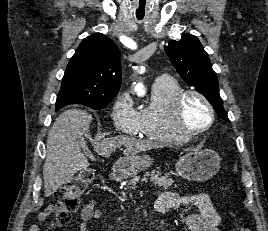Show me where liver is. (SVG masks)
Listing matches in <instances>:
<instances>
[{
    "label": "liver",
    "instance_id": "1",
    "mask_svg": "<svg viewBox=\"0 0 268 231\" xmlns=\"http://www.w3.org/2000/svg\"><path fill=\"white\" fill-rule=\"evenodd\" d=\"M92 116L86 111L73 108L61 113L53 123L47 138V155L43 166L44 195H53L62 185L72 181L73 176L89 166L83 147V136H88ZM95 151L109 157L116 148L125 147L124 154L156 148L157 145L124 135L93 141Z\"/></svg>",
    "mask_w": 268,
    "mask_h": 231
}]
</instances>
